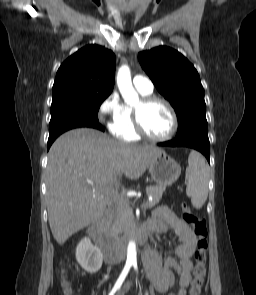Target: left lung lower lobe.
I'll return each mask as SVG.
<instances>
[{"instance_id":"0a47b994","label":"left lung lower lobe","mask_w":256,"mask_h":295,"mask_svg":"<svg viewBox=\"0 0 256 295\" xmlns=\"http://www.w3.org/2000/svg\"><path fill=\"white\" fill-rule=\"evenodd\" d=\"M161 146L169 147H190L201 152L209 161L210 143L208 135L205 134H191L183 137L175 138L174 140L159 143Z\"/></svg>"}]
</instances>
